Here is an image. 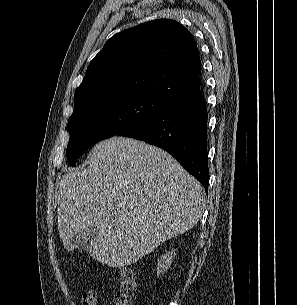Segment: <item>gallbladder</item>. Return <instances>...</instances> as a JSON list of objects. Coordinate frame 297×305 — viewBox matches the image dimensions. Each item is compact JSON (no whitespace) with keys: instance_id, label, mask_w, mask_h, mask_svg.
Listing matches in <instances>:
<instances>
[{"instance_id":"obj_1","label":"gallbladder","mask_w":297,"mask_h":305,"mask_svg":"<svg viewBox=\"0 0 297 305\" xmlns=\"http://www.w3.org/2000/svg\"><path fill=\"white\" fill-rule=\"evenodd\" d=\"M99 236V232L95 226H90L81 232H78L72 236L68 243L73 250H83L90 246V244L96 240Z\"/></svg>"}]
</instances>
